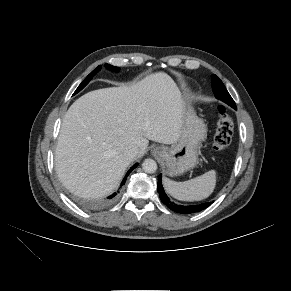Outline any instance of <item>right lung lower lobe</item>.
I'll use <instances>...</instances> for the list:
<instances>
[{"label": "right lung lower lobe", "instance_id": "right-lung-lower-lobe-1", "mask_svg": "<svg viewBox=\"0 0 291 291\" xmlns=\"http://www.w3.org/2000/svg\"><path fill=\"white\" fill-rule=\"evenodd\" d=\"M136 166H137V164H135L134 166H132V167L129 169V171L127 172L125 178L123 179L121 185H124V183H125V181H126V179H127V176L129 175V173H130L134 168H136ZM116 195H117V193H114V194L110 195V196L107 198V200L104 201V202H102L101 204L109 203L110 201L113 200V198H114Z\"/></svg>", "mask_w": 291, "mask_h": 291}]
</instances>
